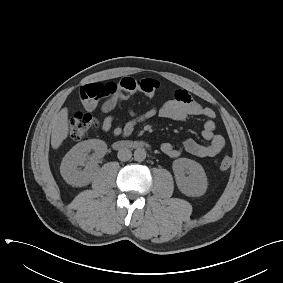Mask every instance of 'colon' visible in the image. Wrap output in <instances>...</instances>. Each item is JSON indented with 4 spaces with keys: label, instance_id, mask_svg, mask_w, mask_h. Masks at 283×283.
<instances>
[{
    "label": "colon",
    "instance_id": "obj_1",
    "mask_svg": "<svg viewBox=\"0 0 283 283\" xmlns=\"http://www.w3.org/2000/svg\"><path fill=\"white\" fill-rule=\"evenodd\" d=\"M159 88V82L153 78L124 77L114 84L112 92L117 100L127 97L133 93H144L153 95ZM95 119L88 113H76L69 122V137L73 140L84 138L92 129L96 127ZM232 160L224 157L219 162L222 170L230 168Z\"/></svg>",
    "mask_w": 283,
    "mask_h": 283
}]
</instances>
